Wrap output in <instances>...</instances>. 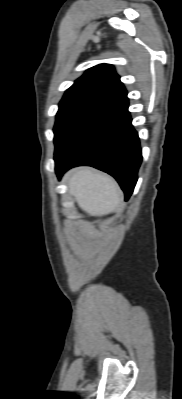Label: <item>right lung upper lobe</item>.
Instances as JSON below:
<instances>
[{"label": "right lung upper lobe", "instance_id": "1", "mask_svg": "<svg viewBox=\"0 0 182 399\" xmlns=\"http://www.w3.org/2000/svg\"><path fill=\"white\" fill-rule=\"evenodd\" d=\"M127 95L120 77L112 65L100 64L88 69L83 76L65 92V96H85L106 104Z\"/></svg>", "mask_w": 182, "mask_h": 399}]
</instances>
